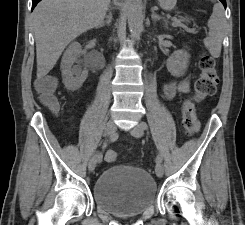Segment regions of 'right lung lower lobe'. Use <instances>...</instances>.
Masks as SVG:
<instances>
[{
    "label": "right lung lower lobe",
    "instance_id": "right-lung-lower-lobe-1",
    "mask_svg": "<svg viewBox=\"0 0 245 225\" xmlns=\"http://www.w3.org/2000/svg\"><path fill=\"white\" fill-rule=\"evenodd\" d=\"M41 0H32V10L34 9V7L37 5L38 2H40Z\"/></svg>",
    "mask_w": 245,
    "mask_h": 225
}]
</instances>
